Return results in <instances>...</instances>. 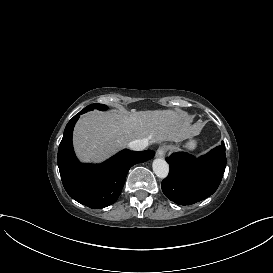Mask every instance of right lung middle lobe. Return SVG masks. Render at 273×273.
<instances>
[{
	"label": "right lung middle lobe",
	"mask_w": 273,
	"mask_h": 273,
	"mask_svg": "<svg viewBox=\"0 0 273 273\" xmlns=\"http://www.w3.org/2000/svg\"><path fill=\"white\" fill-rule=\"evenodd\" d=\"M107 108H108V106H106V105L95 103V104L88 105L81 112L85 113V112L90 111L92 109L106 110Z\"/></svg>",
	"instance_id": "obj_1"
}]
</instances>
